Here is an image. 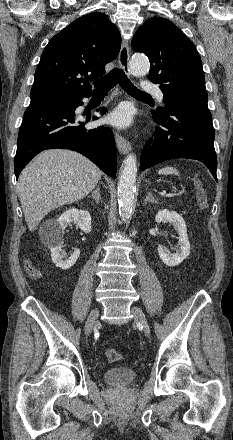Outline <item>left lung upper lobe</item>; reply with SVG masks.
Masks as SVG:
<instances>
[{"instance_id":"obj_1","label":"left lung upper lobe","mask_w":233,"mask_h":440,"mask_svg":"<svg viewBox=\"0 0 233 440\" xmlns=\"http://www.w3.org/2000/svg\"><path fill=\"white\" fill-rule=\"evenodd\" d=\"M132 48L150 61L148 79L159 84L164 103L193 99L208 101L201 58L193 43L171 21L150 18L136 32ZM163 108L159 107L158 112Z\"/></svg>"}]
</instances>
